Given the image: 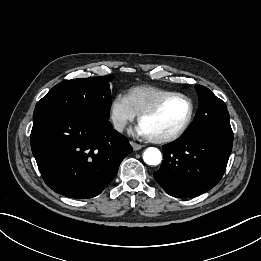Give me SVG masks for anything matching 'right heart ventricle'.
Wrapping results in <instances>:
<instances>
[{
    "mask_svg": "<svg viewBox=\"0 0 261 261\" xmlns=\"http://www.w3.org/2000/svg\"><path fill=\"white\" fill-rule=\"evenodd\" d=\"M171 92L154 86H136L128 90L127 100L136 114Z\"/></svg>",
    "mask_w": 261,
    "mask_h": 261,
    "instance_id": "e07e8e85",
    "label": "right heart ventricle"
}]
</instances>
